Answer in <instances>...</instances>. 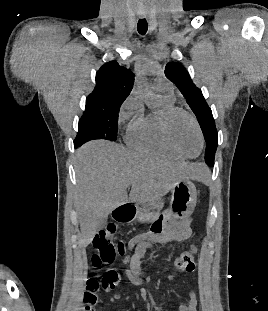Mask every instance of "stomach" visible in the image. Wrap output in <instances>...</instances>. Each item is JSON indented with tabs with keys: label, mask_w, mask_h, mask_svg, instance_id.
<instances>
[{
	"label": "stomach",
	"mask_w": 268,
	"mask_h": 311,
	"mask_svg": "<svg viewBox=\"0 0 268 311\" xmlns=\"http://www.w3.org/2000/svg\"><path fill=\"white\" fill-rule=\"evenodd\" d=\"M171 192L170 208L173 213L172 217L176 219L189 217L194 210L197 200L195 185L189 179L181 180L173 186ZM151 215L152 213L149 211L140 216L138 220L146 222L151 219Z\"/></svg>",
	"instance_id": "obj_1"
}]
</instances>
